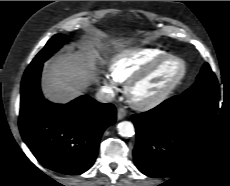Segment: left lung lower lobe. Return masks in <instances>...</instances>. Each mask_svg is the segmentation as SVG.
Returning a JSON list of instances; mask_svg holds the SVG:
<instances>
[{
    "label": "left lung lower lobe",
    "mask_w": 230,
    "mask_h": 186,
    "mask_svg": "<svg viewBox=\"0 0 230 186\" xmlns=\"http://www.w3.org/2000/svg\"><path fill=\"white\" fill-rule=\"evenodd\" d=\"M219 89L184 92L134 114V161L150 177H170L192 159L214 128Z\"/></svg>",
    "instance_id": "left-lung-lower-lobe-1"
}]
</instances>
